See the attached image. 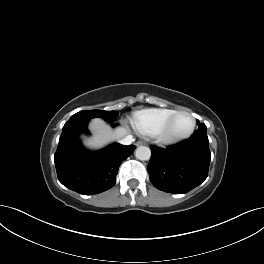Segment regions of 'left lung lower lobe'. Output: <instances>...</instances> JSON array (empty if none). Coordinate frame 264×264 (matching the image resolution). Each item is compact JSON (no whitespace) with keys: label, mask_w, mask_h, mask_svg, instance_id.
I'll list each match as a JSON object with an SVG mask.
<instances>
[{"label":"left lung lower lobe","mask_w":264,"mask_h":264,"mask_svg":"<svg viewBox=\"0 0 264 264\" xmlns=\"http://www.w3.org/2000/svg\"><path fill=\"white\" fill-rule=\"evenodd\" d=\"M150 148L147 170L157 189L184 194L207 178L211 154L206 130L198 129L190 139L166 149Z\"/></svg>","instance_id":"obj_1"}]
</instances>
